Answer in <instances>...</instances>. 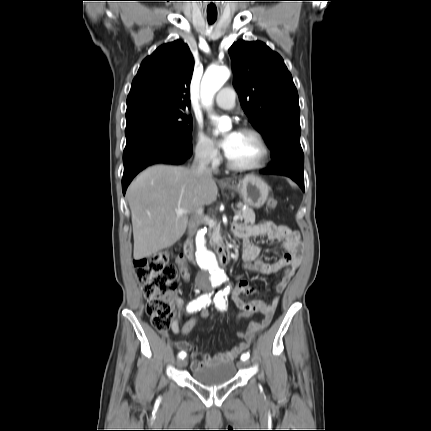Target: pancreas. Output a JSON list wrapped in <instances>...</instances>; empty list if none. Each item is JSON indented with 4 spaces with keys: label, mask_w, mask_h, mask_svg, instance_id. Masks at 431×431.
Returning <instances> with one entry per match:
<instances>
[{
    "label": "pancreas",
    "mask_w": 431,
    "mask_h": 431,
    "mask_svg": "<svg viewBox=\"0 0 431 431\" xmlns=\"http://www.w3.org/2000/svg\"><path fill=\"white\" fill-rule=\"evenodd\" d=\"M238 212L240 220H244L245 223L254 224L255 223V213L249 208L247 205H243L242 203L237 204ZM220 237V227L215 226L213 228V233L211 234V240L214 244L219 243Z\"/></svg>",
    "instance_id": "cf45deb5"
}]
</instances>
